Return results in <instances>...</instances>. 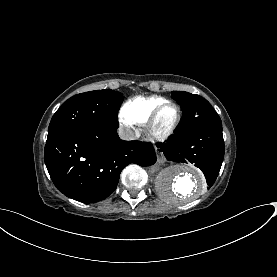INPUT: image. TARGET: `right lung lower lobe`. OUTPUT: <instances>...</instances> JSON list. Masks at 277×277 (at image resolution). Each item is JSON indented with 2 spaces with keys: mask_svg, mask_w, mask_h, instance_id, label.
<instances>
[{
  "mask_svg": "<svg viewBox=\"0 0 277 277\" xmlns=\"http://www.w3.org/2000/svg\"><path fill=\"white\" fill-rule=\"evenodd\" d=\"M117 128L91 126L47 138L44 160L60 192L80 202H98L115 191L128 164L150 166L156 162L150 143L123 141Z\"/></svg>",
  "mask_w": 277,
  "mask_h": 277,
  "instance_id": "98d812e1",
  "label": "right lung lower lobe"
}]
</instances>
